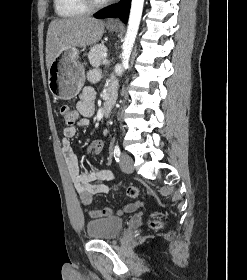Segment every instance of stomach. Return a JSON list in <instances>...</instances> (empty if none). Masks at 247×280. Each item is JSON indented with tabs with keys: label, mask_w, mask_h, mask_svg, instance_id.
I'll use <instances>...</instances> for the list:
<instances>
[{
	"label": "stomach",
	"mask_w": 247,
	"mask_h": 280,
	"mask_svg": "<svg viewBox=\"0 0 247 280\" xmlns=\"http://www.w3.org/2000/svg\"><path fill=\"white\" fill-rule=\"evenodd\" d=\"M112 31L117 28L111 27ZM85 82L84 64L79 61L76 47L63 49L53 60L48 71V86L53 95L70 100L78 95Z\"/></svg>",
	"instance_id": "1"
}]
</instances>
